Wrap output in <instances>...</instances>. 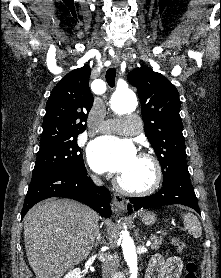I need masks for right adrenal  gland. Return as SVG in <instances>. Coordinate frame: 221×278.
<instances>
[{
  "instance_id": "obj_1",
  "label": "right adrenal gland",
  "mask_w": 221,
  "mask_h": 278,
  "mask_svg": "<svg viewBox=\"0 0 221 278\" xmlns=\"http://www.w3.org/2000/svg\"><path fill=\"white\" fill-rule=\"evenodd\" d=\"M100 241H101V233H100V229L98 228V229H97V233H96V240H95V243H94L95 247L98 246V243H99Z\"/></svg>"
}]
</instances>
